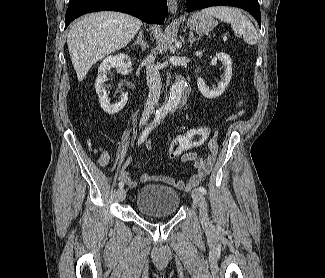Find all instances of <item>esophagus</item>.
<instances>
[{"label":"esophagus","instance_id":"obj_1","mask_svg":"<svg viewBox=\"0 0 325 278\" xmlns=\"http://www.w3.org/2000/svg\"><path fill=\"white\" fill-rule=\"evenodd\" d=\"M168 8L172 15H175L178 9L177 0H168Z\"/></svg>","mask_w":325,"mask_h":278}]
</instances>
